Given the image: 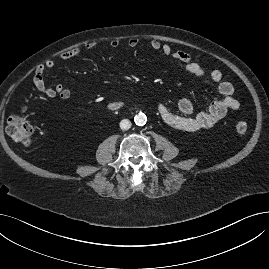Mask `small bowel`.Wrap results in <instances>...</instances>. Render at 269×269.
<instances>
[{
  "label": "small bowel",
  "mask_w": 269,
  "mask_h": 269,
  "mask_svg": "<svg viewBox=\"0 0 269 269\" xmlns=\"http://www.w3.org/2000/svg\"><path fill=\"white\" fill-rule=\"evenodd\" d=\"M109 45L111 48L116 49L120 46V42L117 39H112ZM127 45L130 48H136L139 45V40L137 38H130ZM95 46V43H89L86 45V49L92 50ZM150 47L155 51H159L163 57L172 59L180 64L184 70L193 77L202 79L207 76L206 69L195 62L190 53L182 50L175 51L170 45L164 44L159 40H152ZM79 54V49H71L62 53L61 59L67 61ZM54 66L55 63L51 60L47 61L45 64L39 65L35 70L33 83L42 94L49 98L60 97L62 99H68L71 96V92L67 87L62 84H57L52 87L45 82L46 72L52 70ZM209 77L217 84L221 97L214 99L206 110L194 116L192 115L193 104L188 98L179 100V114H174L164 104H159L157 112L161 120L172 128L181 131L195 132L211 128L224 118L229 111L240 109V101L233 97L234 86L229 81L223 80L222 72L213 70L209 73Z\"/></svg>",
  "instance_id": "1"
}]
</instances>
